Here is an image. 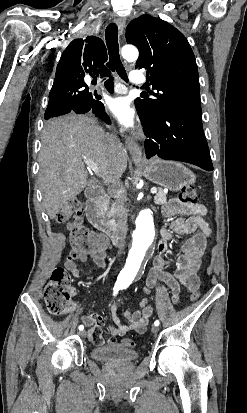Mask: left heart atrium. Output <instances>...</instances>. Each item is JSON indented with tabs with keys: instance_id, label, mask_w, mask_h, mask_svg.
Returning <instances> with one entry per match:
<instances>
[{
	"instance_id": "left-heart-atrium-1",
	"label": "left heart atrium",
	"mask_w": 247,
	"mask_h": 413,
	"mask_svg": "<svg viewBox=\"0 0 247 413\" xmlns=\"http://www.w3.org/2000/svg\"><path fill=\"white\" fill-rule=\"evenodd\" d=\"M105 107L118 120L121 126L125 129L132 128L135 122V112L129 106V102L125 97H107L104 100Z\"/></svg>"
}]
</instances>
